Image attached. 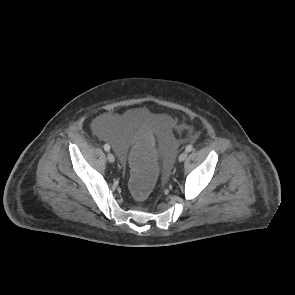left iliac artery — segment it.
I'll use <instances>...</instances> for the list:
<instances>
[{
    "mask_svg": "<svg viewBox=\"0 0 295 295\" xmlns=\"http://www.w3.org/2000/svg\"><path fill=\"white\" fill-rule=\"evenodd\" d=\"M193 150V146L192 145H187L185 151L186 152H191Z\"/></svg>",
    "mask_w": 295,
    "mask_h": 295,
    "instance_id": "obj_1",
    "label": "left iliac artery"
}]
</instances>
